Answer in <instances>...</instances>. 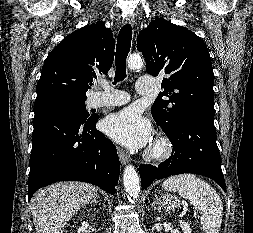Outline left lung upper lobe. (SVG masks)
<instances>
[{"instance_id":"5c2ea615","label":"left lung upper lobe","mask_w":253,"mask_h":233,"mask_svg":"<svg viewBox=\"0 0 253 233\" xmlns=\"http://www.w3.org/2000/svg\"><path fill=\"white\" fill-rule=\"evenodd\" d=\"M137 49L145 57L149 74L167 76L161 85L165 90L155 100L151 113L168 137L177 133L182 119L198 115L214 118L211 58L195 33L156 18L139 33Z\"/></svg>"}]
</instances>
